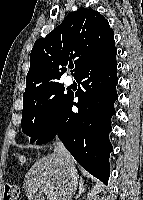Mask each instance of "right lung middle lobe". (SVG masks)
I'll list each match as a JSON object with an SVG mask.
<instances>
[{"instance_id":"obj_1","label":"right lung middle lobe","mask_w":143,"mask_h":200,"mask_svg":"<svg viewBox=\"0 0 143 200\" xmlns=\"http://www.w3.org/2000/svg\"><path fill=\"white\" fill-rule=\"evenodd\" d=\"M69 94L61 83H51L23 94L22 131L35 142L61 109Z\"/></svg>"}]
</instances>
